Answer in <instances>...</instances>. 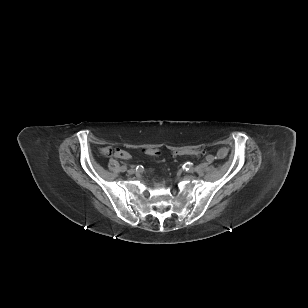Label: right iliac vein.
<instances>
[{"instance_id": "obj_1", "label": "right iliac vein", "mask_w": 308, "mask_h": 308, "mask_svg": "<svg viewBox=\"0 0 308 308\" xmlns=\"http://www.w3.org/2000/svg\"><path fill=\"white\" fill-rule=\"evenodd\" d=\"M128 173L131 175V174H134L135 173V170L134 169H129L128 170Z\"/></svg>"}]
</instances>
